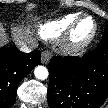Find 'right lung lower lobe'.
<instances>
[{"instance_id":"98d812e1","label":"right lung lower lobe","mask_w":108,"mask_h":108,"mask_svg":"<svg viewBox=\"0 0 108 108\" xmlns=\"http://www.w3.org/2000/svg\"><path fill=\"white\" fill-rule=\"evenodd\" d=\"M40 63L39 51L27 54L10 47L0 48V108H9L16 102L20 81Z\"/></svg>"}]
</instances>
